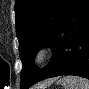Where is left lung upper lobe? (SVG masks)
Listing matches in <instances>:
<instances>
[{"instance_id":"5c2ea615","label":"left lung upper lobe","mask_w":89,"mask_h":89,"mask_svg":"<svg viewBox=\"0 0 89 89\" xmlns=\"http://www.w3.org/2000/svg\"><path fill=\"white\" fill-rule=\"evenodd\" d=\"M72 0H16L15 24L22 61L21 86L26 89L37 74L33 61L39 49L52 47L56 31Z\"/></svg>"}]
</instances>
